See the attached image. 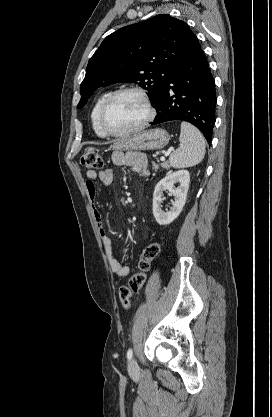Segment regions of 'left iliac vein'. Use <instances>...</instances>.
I'll list each match as a JSON object with an SVG mask.
<instances>
[{
	"label": "left iliac vein",
	"mask_w": 272,
	"mask_h": 417,
	"mask_svg": "<svg viewBox=\"0 0 272 417\" xmlns=\"http://www.w3.org/2000/svg\"><path fill=\"white\" fill-rule=\"evenodd\" d=\"M128 370H129V372H131V373H135V372H137V370H138V364H137V362L135 361V359H131V360L129 361V363H128Z\"/></svg>",
	"instance_id": "left-iliac-vein-1"
}]
</instances>
